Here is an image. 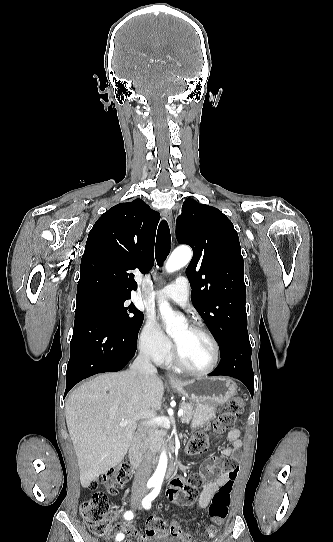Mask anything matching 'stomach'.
I'll list each match as a JSON object with an SVG mask.
<instances>
[{
    "label": "stomach",
    "instance_id": "1",
    "mask_svg": "<svg viewBox=\"0 0 333 542\" xmlns=\"http://www.w3.org/2000/svg\"><path fill=\"white\" fill-rule=\"evenodd\" d=\"M171 388L188 398L195 404L192 428H204L216 416L218 406L226 404L238 390L235 382L230 378H193V380H176L170 384Z\"/></svg>",
    "mask_w": 333,
    "mask_h": 542
}]
</instances>
